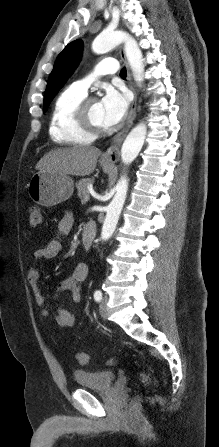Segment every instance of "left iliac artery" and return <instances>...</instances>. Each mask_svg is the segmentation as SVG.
Segmentation results:
<instances>
[{"instance_id": "obj_1", "label": "left iliac artery", "mask_w": 219, "mask_h": 447, "mask_svg": "<svg viewBox=\"0 0 219 447\" xmlns=\"http://www.w3.org/2000/svg\"><path fill=\"white\" fill-rule=\"evenodd\" d=\"M94 299H95L97 302H100V301H101V299H102V293H101V291L96 290V291L94 292Z\"/></svg>"}]
</instances>
